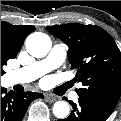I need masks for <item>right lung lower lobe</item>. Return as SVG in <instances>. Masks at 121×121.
I'll use <instances>...</instances> for the list:
<instances>
[{
    "label": "right lung lower lobe",
    "instance_id": "98d812e1",
    "mask_svg": "<svg viewBox=\"0 0 121 121\" xmlns=\"http://www.w3.org/2000/svg\"><path fill=\"white\" fill-rule=\"evenodd\" d=\"M4 93L5 89L1 87V121H21L29 103L43 97V94L35 92Z\"/></svg>",
    "mask_w": 121,
    "mask_h": 121
}]
</instances>
